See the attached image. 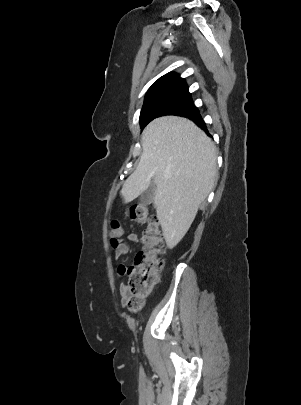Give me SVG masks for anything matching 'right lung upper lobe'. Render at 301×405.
Returning a JSON list of instances; mask_svg holds the SVG:
<instances>
[{
  "mask_svg": "<svg viewBox=\"0 0 301 405\" xmlns=\"http://www.w3.org/2000/svg\"><path fill=\"white\" fill-rule=\"evenodd\" d=\"M184 89L188 90V87L183 78H180V76L176 73H167L166 75L160 77L150 87L145 99L160 93Z\"/></svg>",
  "mask_w": 301,
  "mask_h": 405,
  "instance_id": "1",
  "label": "right lung upper lobe"
}]
</instances>
